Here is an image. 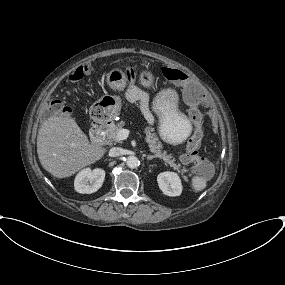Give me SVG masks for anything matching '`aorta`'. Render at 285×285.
Returning <instances> with one entry per match:
<instances>
[{
  "label": "aorta",
  "instance_id": "762f6f07",
  "mask_svg": "<svg viewBox=\"0 0 285 285\" xmlns=\"http://www.w3.org/2000/svg\"><path fill=\"white\" fill-rule=\"evenodd\" d=\"M126 165L129 168H136L139 165V160L136 156H129L126 159Z\"/></svg>",
  "mask_w": 285,
  "mask_h": 285
}]
</instances>
